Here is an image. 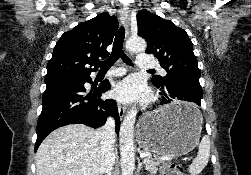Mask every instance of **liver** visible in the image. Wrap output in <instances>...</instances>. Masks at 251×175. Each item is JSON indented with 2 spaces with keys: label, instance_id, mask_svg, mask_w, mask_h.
<instances>
[{
  "label": "liver",
  "instance_id": "obj_1",
  "mask_svg": "<svg viewBox=\"0 0 251 175\" xmlns=\"http://www.w3.org/2000/svg\"><path fill=\"white\" fill-rule=\"evenodd\" d=\"M100 141L98 129L82 123L54 129L37 149V175H100Z\"/></svg>",
  "mask_w": 251,
  "mask_h": 175
}]
</instances>
